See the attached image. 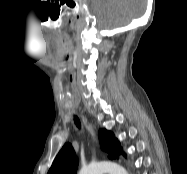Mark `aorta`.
Here are the masks:
<instances>
[{"mask_svg":"<svg viewBox=\"0 0 187 174\" xmlns=\"http://www.w3.org/2000/svg\"><path fill=\"white\" fill-rule=\"evenodd\" d=\"M78 174H127V171L116 163L99 162L83 167Z\"/></svg>","mask_w":187,"mask_h":174,"instance_id":"aorta-1","label":"aorta"}]
</instances>
